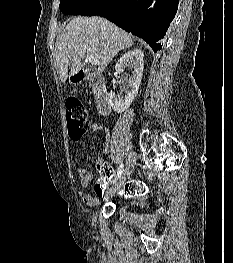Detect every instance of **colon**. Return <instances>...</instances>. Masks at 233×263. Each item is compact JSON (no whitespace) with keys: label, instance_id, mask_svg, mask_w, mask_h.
<instances>
[{"label":"colon","instance_id":"1","mask_svg":"<svg viewBox=\"0 0 233 263\" xmlns=\"http://www.w3.org/2000/svg\"><path fill=\"white\" fill-rule=\"evenodd\" d=\"M66 119L68 125L69 136L74 141H79L86 134L88 129V113L84 105L76 98L69 99L66 102ZM97 175L100 176L98 178V183L94 185L93 191L95 195H119V190H106L107 183L109 180H113V171H98ZM128 183H130V187H127V190L132 191V194H136V190L146 189L145 183L140 182L139 178H128ZM144 187V188H142ZM122 194L125 192L122 191ZM127 194L130 192L127 191ZM132 197L131 195L129 196ZM137 198L146 197L145 195L140 196L137 195ZM124 201L127 199L124 198ZM128 207L131 205L128 204Z\"/></svg>","mask_w":233,"mask_h":263}]
</instances>
